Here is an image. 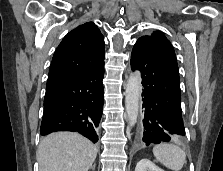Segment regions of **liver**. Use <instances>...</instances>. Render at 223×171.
Wrapping results in <instances>:
<instances>
[{
  "label": "liver",
  "mask_w": 223,
  "mask_h": 171,
  "mask_svg": "<svg viewBox=\"0 0 223 171\" xmlns=\"http://www.w3.org/2000/svg\"><path fill=\"white\" fill-rule=\"evenodd\" d=\"M96 146L73 132H55L41 140L39 171H88L97 156Z\"/></svg>",
  "instance_id": "6515ba94"
}]
</instances>
